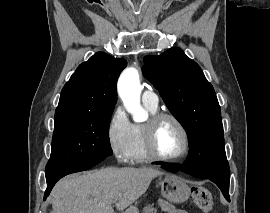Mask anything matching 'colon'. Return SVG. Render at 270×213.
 Listing matches in <instances>:
<instances>
[{
  "instance_id": "1",
  "label": "colon",
  "mask_w": 270,
  "mask_h": 213,
  "mask_svg": "<svg viewBox=\"0 0 270 213\" xmlns=\"http://www.w3.org/2000/svg\"><path fill=\"white\" fill-rule=\"evenodd\" d=\"M194 204L201 211L208 213L213 208V197L211 193L202 187H196L192 191Z\"/></svg>"
}]
</instances>
